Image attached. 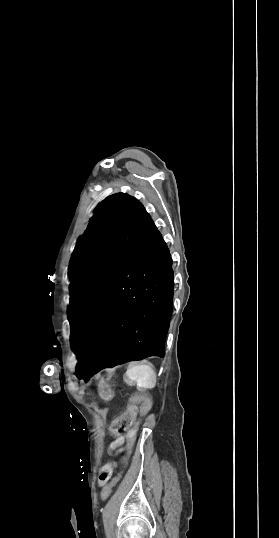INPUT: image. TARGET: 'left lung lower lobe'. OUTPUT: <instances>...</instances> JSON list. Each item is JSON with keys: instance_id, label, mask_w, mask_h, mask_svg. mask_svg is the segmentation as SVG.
<instances>
[{"instance_id": "1", "label": "left lung lower lobe", "mask_w": 279, "mask_h": 538, "mask_svg": "<svg viewBox=\"0 0 279 538\" xmlns=\"http://www.w3.org/2000/svg\"><path fill=\"white\" fill-rule=\"evenodd\" d=\"M172 260L153 225L129 261L71 330L79 365L88 380L133 356L164 357L173 307Z\"/></svg>"}]
</instances>
